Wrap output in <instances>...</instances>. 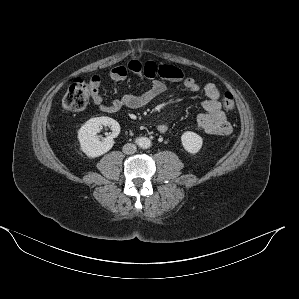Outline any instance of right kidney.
Listing matches in <instances>:
<instances>
[{
    "label": "right kidney",
    "mask_w": 299,
    "mask_h": 299,
    "mask_svg": "<svg viewBox=\"0 0 299 299\" xmlns=\"http://www.w3.org/2000/svg\"><path fill=\"white\" fill-rule=\"evenodd\" d=\"M102 126L111 128L112 133L100 139L98 133ZM120 133V125L110 117H95L89 119L78 131L81 150L89 157L96 158L108 152L114 145L113 138Z\"/></svg>",
    "instance_id": "right-kidney-1"
}]
</instances>
